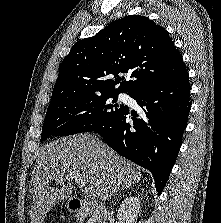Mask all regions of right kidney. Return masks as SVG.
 <instances>
[{
	"label": "right kidney",
	"mask_w": 221,
	"mask_h": 223,
	"mask_svg": "<svg viewBox=\"0 0 221 223\" xmlns=\"http://www.w3.org/2000/svg\"><path fill=\"white\" fill-rule=\"evenodd\" d=\"M140 200L136 196H129L122 201L117 212L121 223H134L140 214Z\"/></svg>",
	"instance_id": "right-kidney-1"
}]
</instances>
